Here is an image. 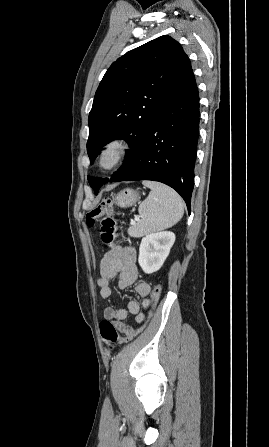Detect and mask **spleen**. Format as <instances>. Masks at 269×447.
<instances>
[{"mask_svg":"<svg viewBox=\"0 0 269 447\" xmlns=\"http://www.w3.org/2000/svg\"><path fill=\"white\" fill-rule=\"evenodd\" d=\"M142 184L146 188H151V192L139 206L142 220L128 229L132 237H142L153 231L167 229L177 224L184 214L183 200L172 188L160 182H142Z\"/></svg>","mask_w":269,"mask_h":447,"instance_id":"1","label":"spleen"}]
</instances>
